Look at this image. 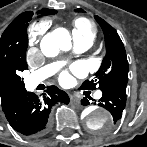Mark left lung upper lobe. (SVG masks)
Instances as JSON below:
<instances>
[{
	"instance_id": "left-lung-upper-lobe-1",
	"label": "left lung upper lobe",
	"mask_w": 147,
	"mask_h": 147,
	"mask_svg": "<svg viewBox=\"0 0 147 147\" xmlns=\"http://www.w3.org/2000/svg\"><path fill=\"white\" fill-rule=\"evenodd\" d=\"M76 11L84 12L82 9ZM95 19L104 32L106 55L94 79L85 81L81 88L94 90L98 85L101 90L112 84H127L129 66L124 45L112 26L98 16Z\"/></svg>"
}]
</instances>
